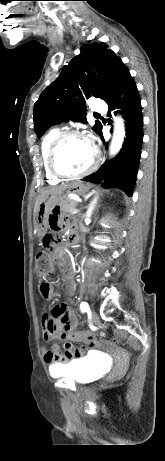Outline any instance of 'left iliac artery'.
I'll return each mask as SVG.
<instances>
[{"mask_svg":"<svg viewBox=\"0 0 165 461\" xmlns=\"http://www.w3.org/2000/svg\"><path fill=\"white\" fill-rule=\"evenodd\" d=\"M80 308L82 312H90L89 305L86 302H82Z\"/></svg>","mask_w":165,"mask_h":461,"instance_id":"1","label":"left iliac artery"}]
</instances>
